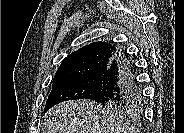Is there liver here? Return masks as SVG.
<instances>
[{
	"label": "liver",
	"instance_id": "6515ba94",
	"mask_svg": "<svg viewBox=\"0 0 184 133\" xmlns=\"http://www.w3.org/2000/svg\"><path fill=\"white\" fill-rule=\"evenodd\" d=\"M45 133H123L127 126L116 122L91 100L60 103L45 115Z\"/></svg>",
	"mask_w": 184,
	"mask_h": 133
}]
</instances>
